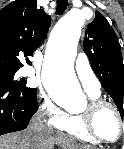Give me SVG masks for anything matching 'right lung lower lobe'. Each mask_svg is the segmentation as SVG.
I'll return each mask as SVG.
<instances>
[{
    "label": "right lung lower lobe",
    "mask_w": 124,
    "mask_h": 149,
    "mask_svg": "<svg viewBox=\"0 0 124 149\" xmlns=\"http://www.w3.org/2000/svg\"><path fill=\"white\" fill-rule=\"evenodd\" d=\"M37 110V90L0 78V135L25 129Z\"/></svg>",
    "instance_id": "right-lung-lower-lobe-1"
}]
</instances>
